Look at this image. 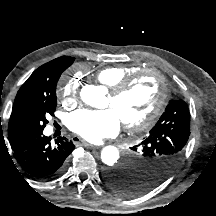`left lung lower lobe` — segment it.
<instances>
[{
	"label": "left lung lower lobe",
	"instance_id": "0a47b994",
	"mask_svg": "<svg viewBox=\"0 0 216 216\" xmlns=\"http://www.w3.org/2000/svg\"><path fill=\"white\" fill-rule=\"evenodd\" d=\"M130 172L129 164H123L116 169L108 171L105 174V181L118 194L134 197L136 196L133 194L135 187L131 181H126V178L130 176Z\"/></svg>",
	"mask_w": 216,
	"mask_h": 216
}]
</instances>
